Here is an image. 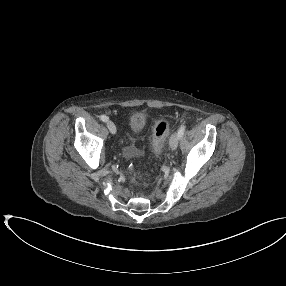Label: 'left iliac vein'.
<instances>
[{"instance_id": "4c4485c4", "label": "left iliac vein", "mask_w": 286, "mask_h": 286, "mask_svg": "<svg viewBox=\"0 0 286 286\" xmlns=\"http://www.w3.org/2000/svg\"><path fill=\"white\" fill-rule=\"evenodd\" d=\"M178 143H179L178 133L172 134L169 142L171 149L175 150L178 147Z\"/></svg>"}]
</instances>
